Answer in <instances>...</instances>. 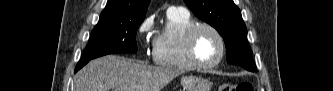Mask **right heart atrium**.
I'll return each mask as SVG.
<instances>
[{"label": "right heart atrium", "mask_w": 333, "mask_h": 91, "mask_svg": "<svg viewBox=\"0 0 333 91\" xmlns=\"http://www.w3.org/2000/svg\"><path fill=\"white\" fill-rule=\"evenodd\" d=\"M152 27V19L151 18H146L144 19L136 29V36L139 39L144 38L150 31Z\"/></svg>", "instance_id": "1"}]
</instances>
